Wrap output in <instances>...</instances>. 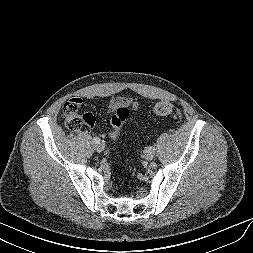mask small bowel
Segmentation results:
<instances>
[{
	"label": "small bowel",
	"mask_w": 253,
	"mask_h": 253,
	"mask_svg": "<svg viewBox=\"0 0 253 253\" xmlns=\"http://www.w3.org/2000/svg\"><path fill=\"white\" fill-rule=\"evenodd\" d=\"M127 106L128 108L136 109L137 108V102L134 101L131 98L126 97H116L113 98L107 105H106V112L108 114H113L115 110L121 106ZM93 126V125H92Z\"/></svg>",
	"instance_id": "c3829d8e"
}]
</instances>
